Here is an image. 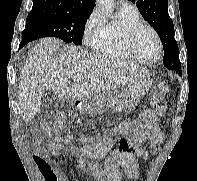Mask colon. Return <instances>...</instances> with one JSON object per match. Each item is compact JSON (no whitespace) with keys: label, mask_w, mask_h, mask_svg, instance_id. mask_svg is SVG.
I'll use <instances>...</instances> for the list:
<instances>
[{"label":"colon","mask_w":197,"mask_h":181,"mask_svg":"<svg viewBox=\"0 0 197 181\" xmlns=\"http://www.w3.org/2000/svg\"><path fill=\"white\" fill-rule=\"evenodd\" d=\"M168 92V82L164 78L157 79L150 99L152 109L150 111L143 112L139 118L133 122L135 126L134 138L136 140L143 138L148 132H151L156 125L157 118L165 114L167 108L166 95ZM69 120L70 115L68 113H62L50 121L46 127V131L51 133L55 129L66 127ZM121 149L124 151L131 150L129 143L123 138L121 139Z\"/></svg>","instance_id":"colon-1"}]
</instances>
